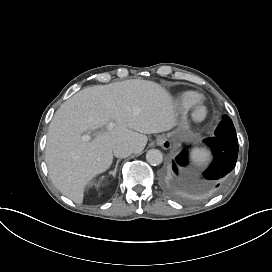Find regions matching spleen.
Segmentation results:
<instances>
[{"mask_svg": "<svg viewBox=\"0 0 272 272\" xmlns=\"http://www.w3.org/2000/svg\"><path fill=\"white\" fill-rule=\"evenodd\" d=\"M206 156H207L206 153L200 152L196 155V159L199 161V163H202Z\"/></svg>", "mask_w": 272, "mask_h": 272, "instance_id": "spleen-1", "label": "spleen"}]
</instances>
